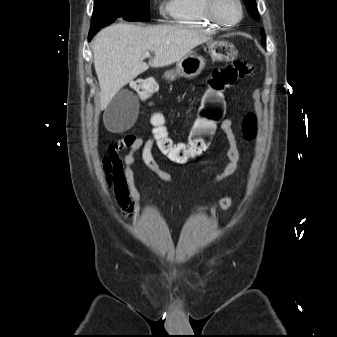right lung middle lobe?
Masks as SVG:
<instances>
[{
	"label": "right lung middle lobe",
	"mask_w": 337,
	"mask_h": 337,
	"mask_svg": "<svg viewBox=\"0 0 337 337\" xmlns=\"http://www.w3.org/2000/svg\"><path fill=\"white\" fill-rule=\"evenodd\" d=\"M117 18L149 21V0H95L92 23H112Z\"/></svg>",
	"instance_id": "right-lung-middle-lobe-1"
}]
</instances>
